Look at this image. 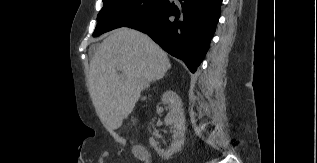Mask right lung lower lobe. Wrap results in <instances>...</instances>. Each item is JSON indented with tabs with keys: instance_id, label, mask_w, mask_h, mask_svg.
Masks as SVG:
<instances>
[{
	"instance_id": "obj_1",
	"label": "right lung lower lobe",
	"mask_w": 317,
	"mask_h": 163,
	"mask_svg": "<svg viewBox=\"0 0 317 163\" xmlns=\"http://www.w3.org/2000/svg\"><path fill=\"white\" fill-rule=\"evenodd\" d=\"M222 0H167L125 27L149 35L194 73L209 49Z\"/></svg>"
}]
</instances>
